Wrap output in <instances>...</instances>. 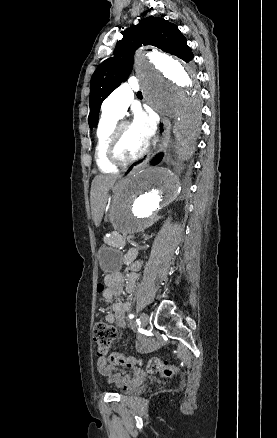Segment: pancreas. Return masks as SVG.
<instances>
[{
  "label": "pancreas",
  "mask_w": 277,
  "mask_h": 438,
  "mask_svg": "<svg viewBox=\"0 0 277 438\" xmlns=\"http://www.w3.org/2000/svg\"><path fill=\"white\" fill-rule=\"evenodd\" d=\"M105 244H111L112 248H123L128 242L126 235H119L118 231H109L104 237Z\"/></svg>",
  "instance_id": "cf45deb5"
}]
</instances>
